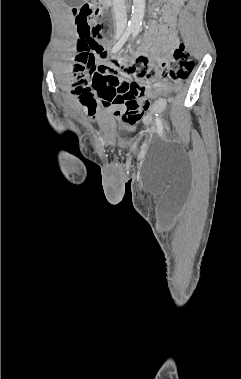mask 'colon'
Instances as JSON below:
<instances>
[{
  "instance_id": "obj_1",
  "label": "colon",
  "mask_w": 241,
  "mask_h": 379,
  "mask_svg": "<svg viewBox=\"0 0 241 379\" xmlns=\"http://www.w3.org/2000/svg\"><path fill=\"white\" fill-rule=\"evenodd\" d=\"M101 1L88 0L74 9L78 31L83 39L79 43L74 66L73 92L80 98L81 104L90 115L94 114L100 101L108 104L117 94L127 93L128 89L138 86L133 82H125L126 76L121 75V71L118 70L122 67L120 58H111V65L97 63L98 60L108 59L107 49L95 34L98 26L94 21L100 16ZM193 67L194 63L185 45L180 44L174 49L171 60L160 62L154 68L149 67L145 55H138L131 64L122 68L124 74L137 75L139 79H145L149 85H153L158 79L180 83L188 77ZM159 92L168 96L173 89L166 85L160 88Z\"/></svg>"
}]
</instances>
